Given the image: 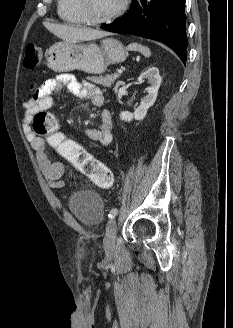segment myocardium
I'll return each mask as SVG.
<instances>
[{"label": "myocardium", "mask_w": 233, "mask_h": 328, "mask_svg": "<svg viewBox=\"0 0 233 328\" xmlns=\"http://www.w3.org/2000/svg\"><path fill=\"white\" fill-rule=\"evenodd\" d=\"M76 2H77L78 9L80 10V12L82 13L85 19V22L90 25H101V24L109 23L114 19L118 18L119 16H121L126 11L128 6V0H122L120 2V5L114 11H112L111 13L107 14L104 17L95 18L91 16L88 11L87 0H76Z\"/></svg>", "instance_id": "obj_1"}]
</instances>
